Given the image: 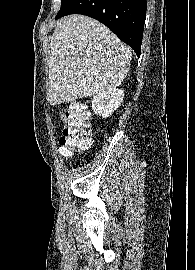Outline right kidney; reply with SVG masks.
Wrapping results in <instances>:
<instances>
[{
    "label": "right kidney",
    "instance_id": "ca27d5eb",
    "mask_svg": "<svg viewBox=\"0 0 195 270\" xmlns=\"http://www.w3.org/2000/svg\"><path fill=\"white\" fill-rule=\"evenodd\" d=\"M124 99L123 89H113L94 96L92 100L93 112L107 118L117 110Z\"/></svg>",
    "mask_w": 195,
    "mask_h": 270
}]
</instances>
